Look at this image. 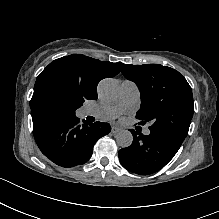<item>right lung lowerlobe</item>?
Listing matches in <instances>:
<instances>
[{"label":"right lung lower lobe","mask_w":219,"mask_h":219,"mask_svg":"<svg viewBox=\"0 0 219 219\" xmlns=\"http://www.w3.org/2000/svg\"><path fill=\"white\" fill-rule=\"evenodd\" d=\"M33 133L41 152L55 164L73 167L87 162L96 141L111 131L108 123L79 124L76 115L52 110H31Z\"/></svg>","instance_id":"1"}]
</instances>
